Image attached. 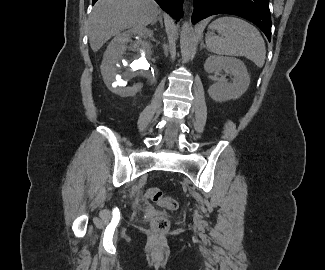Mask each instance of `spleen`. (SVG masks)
I'll list each match as a JSON object with an SVG mask.
<instances>
[{
  "label": "spleen",
  "instance_id": "spleen-1",
  "mask_svg": "<svg viewBox=\"0 0 325 270\" xmlns=\"http://www.w3.org/2000/svg\"><path fill=\"white\" fill-rule=\"evenodd\" d=\"M206 45L209 51L218 55L246 57L258 67H263L266 47L263 37L256 27L247 21L224 16L209 25ZM216 30L221 36L215 35Z\"/></svg>",
  "mask_w": 325,
  "mask_h": 270
}]
</instances>
